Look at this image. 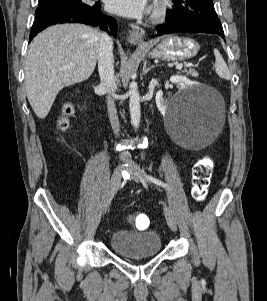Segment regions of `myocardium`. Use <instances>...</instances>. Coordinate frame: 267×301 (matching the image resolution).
<instances>
[{"label": "myocardium", "instance_id": "1", "mask_svg": "<svg viewBox=\"0 0 267 301\" xmlns=\"http://www.w3.org/2000/svg\"><path fill=\"white\" fill-rule=\"evenodd\" d=\"M171 7V0H155L152 7L151 19L154 21L162 20L168 14Z\"/></svg>", "mask_w": 267, "mask_h": 301}]
</instances>
